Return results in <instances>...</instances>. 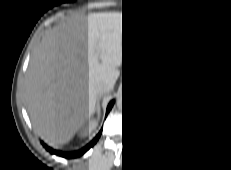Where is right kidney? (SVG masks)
<instances>
[{
	"instance_id": "obj_1",
	"label": "right kidney",
	"mask_w": 231,
	"mask_h": 170,
	"mask_svg": "<svg viewBox=\"0 0 231 170\" xmlns=\"http://www.w3.org/2000/svg\"><path fill=\"white\" fill-rule=\"evenodd\" d=\"M89 131V126L85 127L83 131H81V135H85Z\"/></svg>"
}]
</instances>
